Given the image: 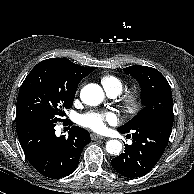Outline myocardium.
Masks as SVG:
<instances>
[{
  "mask_svg": "<svg viewBox=\"0 0 194 194\" xmlns=\"http://www.w3.org/2000/svg\"><path fill=\"white\" fill-rule=\"evenodd\" d=\"M119 101L126 112L133 113L139 109L142 96L136 90H128L121 94Z\"/></svg>",
  "mask_w": 194,
  "mask_h": 194,
  "instance_id": "obj_1",
  "label": "myocardium"
}]
</instances>
